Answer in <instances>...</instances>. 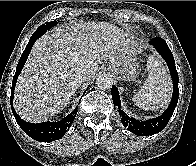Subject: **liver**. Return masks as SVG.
<instances>
[{
	"mask_svg": "<svg viewBox=\"0 0 196 166\" xmlns=\"http://www.w3.org/2000/svg\"><path fill=\"white\" fill-rule=\"evenodd\" d=\"M135 43L107 22L61 25L36 40L15 87L14 108L31 123L61 112L79 84L75 71L95 77L99 63L117 56L136 55Z\"/></svg>",
	"mask_w": 196,
	"mask_h": 166,
	"instance_id": "1",
	"label": "liver"
}]
</instances>
